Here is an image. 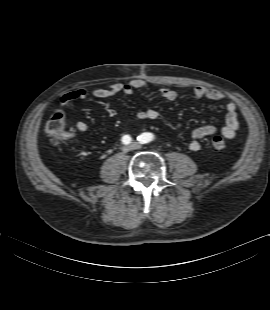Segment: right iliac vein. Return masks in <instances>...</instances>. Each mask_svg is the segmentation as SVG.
Segmentation results:
<instances>
[{
  "instance_id": "63e3f726",
  "label": "right iliac vein",
  "mask_w": 270,
  "mask_h": 310,
  "mask_svg": "<svg viewBox=\"0 0 270 310\" xmlns=\"http://www.w3.org/2000/svg\"><path fill=\"white\" fill-rule=\"evenodd\" d=\"M131 150H132V148H131L130 145H126V146H123V147H122V151H123L124 153H127V152H129V151H131Z\"/></svg>"
}]
</instances>
